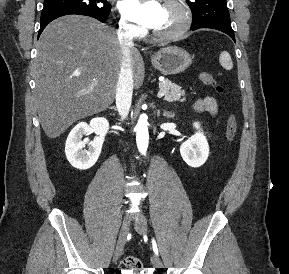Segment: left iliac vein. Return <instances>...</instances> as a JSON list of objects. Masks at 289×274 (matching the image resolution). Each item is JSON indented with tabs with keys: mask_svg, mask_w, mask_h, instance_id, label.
I'll list each match as a JSON object with an SVG mask.
<instances>
[{
	"mask_svg": "<svg viewBox=\"0 0 289 274\" xmlns=\"http://www.w3.org/2000/svg\"><path fill=\"white\" fill-rule=\"evenodd\" d=\"M135 229L141 235H144L147 232L148 226H147V221H146L145 217L140 216V218L135 223ZM152 264L156 268H162L163 267V263L157 255H154L152 257Z\"/></svg>",
	"mask_w": 289,
	"mask_h": 274,
	"instance_id": "4c4485c4",
	"label": "left iliac vein"
}]
</instances>
